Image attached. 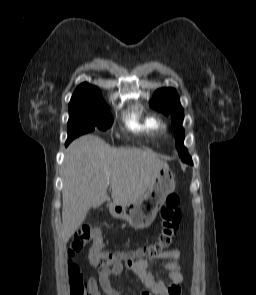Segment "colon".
<instances>
[{
	"mask_svg": "<svg viewBox=\"0 0 256 295\" xmlns=\"http://www.w3.org/2000/svg\"><path fill=\"white\" fill-rule=\"evenodd\" d=\"M181 220L180 199L176 194L166 198L165 204L159 212L160 230L156 239L147 246L138 249L130 255L112 253L103 250V238L97 228L84 224L73 235L67 255L69 257L68 281L70 295H92L87 288L84 278L77 264L72 258L84 248L88 247V258L96 268H108L118 262L130 263L145 256H156L170 250L174 243Z\"/></svg>",
	"mask_w": 256,
	"mask_h": 295,
	"instance_id": "colon-1",
	"label": "colon"
}]
</instances>
